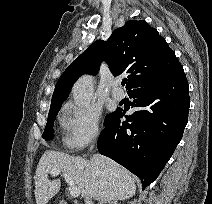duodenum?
I'll return each instance as SVG.
<instances>
[{
	"label": "duodenum",
	"mask_w": 212,
	"mask_h": 204,
	"mask_svg": "<svg viewBox=\"0 0 212 204\" xmlns=\"http://www.w3.org/2000/svg\"><path fill=\"white\" fill-rule=\"evenodd\" d=\"M61 204H68V203H67V202H65V201H62V202H61Z\"/></svg>",
	"instance_id": "obj_1"
}]
</instances>
